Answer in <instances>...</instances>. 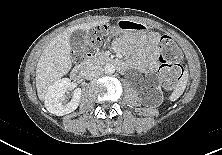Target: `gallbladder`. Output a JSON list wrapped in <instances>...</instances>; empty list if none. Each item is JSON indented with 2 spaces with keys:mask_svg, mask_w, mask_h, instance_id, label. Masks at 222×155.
Here are the masks:
<instances>
[{
  "mask_svg": "<svg viewBox=\"0 0 222 155\" xmlns=\"http://www.w3.org/2000/svg\"><path fill=\"white\" fill-rule=\"evenodd\" d=\"M88 36L83 30H77L70 36V45L73 51L83 52L87 48Z\"/></svg>",
  "mask_w": 222,
  "mask_h": 155,
  "instance_id": "gallbladder-1",
  "label": "gallbladder"
}]
</instances>
